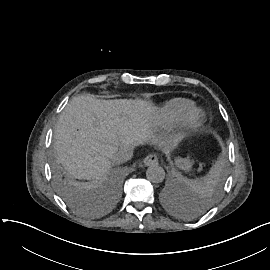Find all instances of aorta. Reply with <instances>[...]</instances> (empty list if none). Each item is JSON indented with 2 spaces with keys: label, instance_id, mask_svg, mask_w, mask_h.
<instances>
[{
  "label": "aorta",
  "instance_id": "1",
  "mask_svg": "<svg viewBox=\"0 0 270 270\" xmlns=\"http://www.w3.org/2000/svg\"><path fill=\"white\" fill-rule=\"evenodd\" d=\"M147 179L152 183H161L165 178V171L159 165L150 166L146 171Z\"/></svg>",
  "mask_w": 270,
  "mask_h": 270
}]
</instances>
